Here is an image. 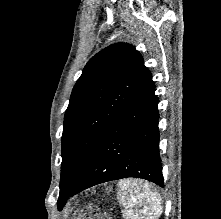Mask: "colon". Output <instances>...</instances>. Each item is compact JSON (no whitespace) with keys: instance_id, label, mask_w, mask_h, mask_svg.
I'll list each match as a JSON object with an SVG mask.
<instances>
[{"instance_id":"5ec220e1","label":"colon","mask_w":221,"mask_h":219,"mask_svg":"<svg viewBox=\"0 0 221 219\" xmlns=\"http://www.w3.org/2000/svg\"><path fill=\"white\" fill-rule=\"evenodd\" d=\"M73 219H113V218L105 213H102L97 207L89 205L77 210Z\"/></svg>"}]
</instances>
